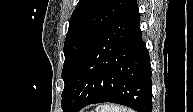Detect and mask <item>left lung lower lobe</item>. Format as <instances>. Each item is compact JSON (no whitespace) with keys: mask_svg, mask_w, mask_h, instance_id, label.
I'll list each match as a JSON object with an SVG mask.
<instances>
[{"mask_svg":"<svg viewBox=\"0 0 193 112\" xmlns=\"http://www.w3.org/2000/svg\"><path fill=\"white\" fill-rule=\"evenodd\" d=\"M101 102L152 112L151 65L136 0L124 8L87 50L61 106L63 112H78Z\"/></svg>","mask_w":193,"mask_h":112,"instance_id":"1","label":"left lung lower lobe"}]
</instances>
